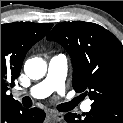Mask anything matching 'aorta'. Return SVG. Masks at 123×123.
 I'll list each match as a JSON object with an SVG mask.
<instances>
[{
  "label": "aorta",
  "instance_id": "aorta-1",
  "mask_svg": "<svg viewBox=\"0 0 123 123\" xmlns=\"http://www.w3.org/2000/svg\"><path fill=\"white\" fill-rule=\"evenodd\" d=\"M24 71L30 79H41L46 74L47 64L40 57L31 58L25 62Z\"/></svg>",
  "mask_w": 123,
  "mask_h": 123
}]
</instances>
